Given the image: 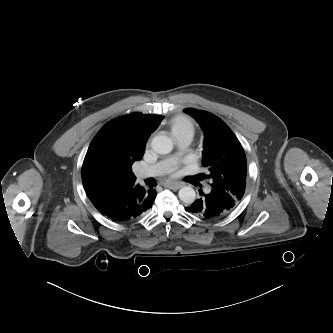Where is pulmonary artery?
Instances as JSON below:
<instances>
[{
	"mask_svg": "<svg viewBox=\"0 0 333 333\" xmlns=\"http://www.w3.org/2000/svg\"><path fill=\"white\" fill-rule=\"evenodd\" d=\"M192 139H193V134H191V133H186V134L176 137V142L180 148V152L178 153L179 156H181L185 153V150L191 144ZM174 164H175L174 159H168V160H164L159 163H156L154 165L142 168L138 171L137 178L139 180H141V179L164 174V173L170 171L174 167Z\"/></svg>",
	"mask_w": 333,
	"mask_h": 333,
	"instance_id": "e3ab8cb5",
	"label": "pulmonary artery"
}]
</instances>
